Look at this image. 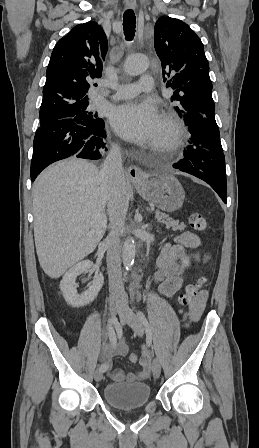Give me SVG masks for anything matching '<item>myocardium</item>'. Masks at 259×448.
Returning <instances> with one entry per match:
<instances>
[{
    "label": "myocardium",
    "instance_id": "f54148a6",
    "mask_svg": "<svg viewBox=\"0 0 259 448\" xmlns=\"http://www.w3.org/2000/svg\"><path fill=\"white\" fill-rule=\"evenodd\" d=\"M162 124L166 127L167 136L164 142L157 146V148L167 151H175L178 148L182 137L181 121L175 112L168 111L162 118Z\"/></svg>",
    "mask_w": 259,
    "mask_h": 448
}]
</instances>
